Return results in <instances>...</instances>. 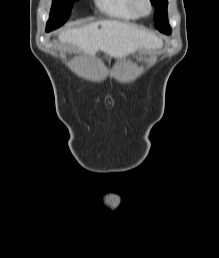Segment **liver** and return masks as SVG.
<instances>
[{"label":"liver","mask_w":219,"mask_h":258,"mask_svg":"<svg viewBox=\"0 0 219 258\" xmlns=\"http://www.w3.org/2000/svg\"><path fill=\"white\" fill-rule=\"evenodd\" d=\"M58 38L62 43L72 44L91 56L103 51L115 58L160 43L154 35L116 20H101L81 28L69 29L60 33Z\"/></svg>","instance_id":"obj_1"}]
</instances>
